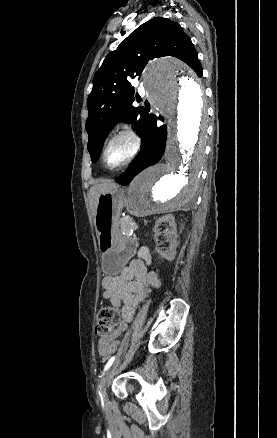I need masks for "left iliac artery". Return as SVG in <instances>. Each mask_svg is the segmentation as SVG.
I'll use <instances>...</instances> for the list:
<instances>
[{"label": "left iliac artery", "mask_w": 277, "mask_h": 438, "mask_svg": "<svg viewBox=\"0 0 277 438\" xmlns=\"http://www.w3.org/2000/svg\"><path fill=\"white\" fill-rule=\"evenodd\" d=\"M114 360H115V356H113V357H111V358L109 359V361L107 362V364H106L105 367H104V371H106L107 369H109V367L113 364Z\"/></svg>", "instance_id": "obj_1"}]
</instances>
